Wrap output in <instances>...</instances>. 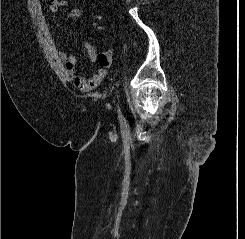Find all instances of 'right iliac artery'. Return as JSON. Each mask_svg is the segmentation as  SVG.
<instances>
[{
  "label": "right iliac artery",
  "mask_w": 245,
  "mask_h": 239,
  "mask_svg": "<svg viewBox=\"0 0 245 239\" xmlns=\"http://www.w3.org/2000/svg\"><path fill=\"white\" fill-rule=\"evenodd\" d=\"M117 98H119V95H117ZM117 107H118V111L120 112L119 103H118Z\"/></svg>",
  "instance_id": "1"
}]
</instances>
